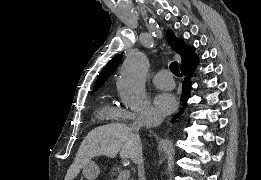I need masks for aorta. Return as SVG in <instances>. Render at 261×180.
I'll return each instance as SVG.
<instances>
[{
  "instance_id": "1",
  "label": "aorta",
  "mask_w": 261,
  "mask_h": 180,
  "mask_svg": "<svg viewBox=\"0 0 261 180\" xmlns=\"http://www.w3.org/2000/svg\"><path fill=\"white\" fill-rule=\"evenodd\" d=\"M149 61L144 53L132 52L123 62L117 88L122 103L131 110H140L145 104V81Z\"/></svg>"
}]
</instances>
